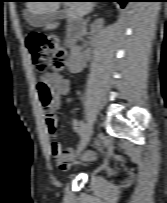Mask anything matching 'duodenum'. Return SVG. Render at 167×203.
Wrapping results in <instances>:
<instances>
[{
  "instance_id": "1",
  "label": "duodenum",
  "mask_w": 167,
  "mask_h": 203,
  "mask_svg": "<svg viewBox=\"0 0 167 203\" xmlns=\"http://www.w3.org/2000/svg\"><path fill=\"white\" fill-rule=\"evenodd\" d=\"M66 23L65 45L72 49L83 32V24L79 19L75 18H67Z\"/></svg>"
}]
</instances>
